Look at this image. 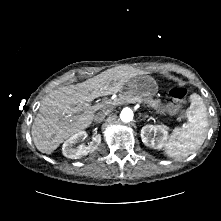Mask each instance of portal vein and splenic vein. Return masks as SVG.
<instances>
[{
	"instance_id": "1",
	"label": "portal vein and splenic vein",
	"mask_w": 221,
	"mask_h": 221,
	"mask_svg": "<svg viewBox=\"0 0 221 221\" xmlns=\"http://www.w3.org/2000/svg\"><path fill=\"white\" fill-rule=\"evenodd\" d=\"M130 102H132V103H141V100H139V99H137V98H135V99H132Z\"/></svg>"
}]
</instances>
